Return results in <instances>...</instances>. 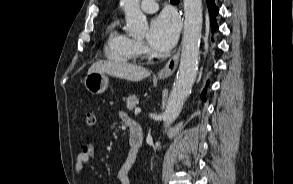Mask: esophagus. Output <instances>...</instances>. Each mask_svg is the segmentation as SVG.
Wrapping results in <instances>:
<instances>
[{
    "label": "esophagus",
    "instance_id": "34e87169",
    "mask_svg": "<svg viewBox=\"0 0 293 184\" xmlns=\"http://www.w3.org/2000/svg\"><path fill=\"white\" fill-rule=\"evenodd\" d=\"M179 56L180 48L177 49V51L173 54L167 64L159 71V73L157 74V77L159 79H165L175 72L179 62Z\"/></svg>",
    "mask_w": 293,
    "mask_h": 184
}]
</instances>
